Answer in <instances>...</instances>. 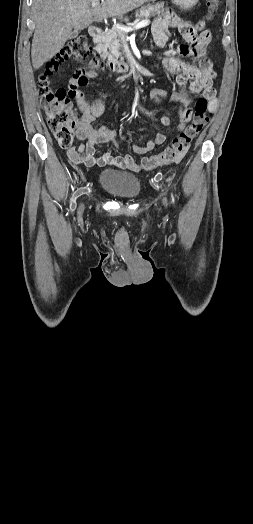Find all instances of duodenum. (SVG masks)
<instances>
[{"label": "duodenum", "instance_id": "duodenum-1", "mask_svg": "<svg viewBox=\"0 0 253 524\" xmlns=\"http://www.w3.org/2000/svg\"><path fill=\"white\" fill-rule=\"evenodd\" d=\"M90 36L95 40L98 41L101 38L102 31L101 29L97 27L90 28ZM107 68L115 73H127L132 72V65L125 61H118V60H108L106 64Z\"/></svg>", "mask_w": 253, "mask_h": 524}]
</instances>
